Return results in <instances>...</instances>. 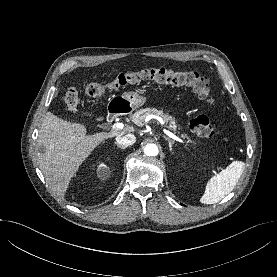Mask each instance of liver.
Segmentation results:
<instances>
[{"mask_svg":"<svg viewBox=\"0 0 277 277\" xmlns=\"http://www.w3.org/2000/svg\"><path fill=\"white\" fill-rule=\"evenodd\" d=\"M133 131L132 126H126L123 131L87 135L85 125L47 112L38 135V146L43 149L38 162L47 184L54 193L64 196L71 179L97 146L106 139Z\"/></svg>","mask_w":277,"mask_h":277,"instance_id":"liver-1","label":"liver"}]
</instances>
